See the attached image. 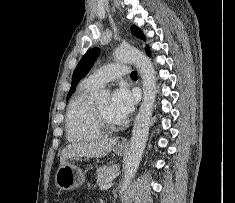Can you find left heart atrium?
Instances as JSON below:
<instances>
[{"label": "left heart atrium", "instance_id": "1", "mask_svg": "<svg viewBox=\"0 0 235 203\" xmlns=\"http://www.w3.org/2000/svg\"><path fill=\"white\" fill-rule=\"evenodd\" d=\"M135 101V95L126 86H119L113 92L109 104L110 114L118 122L124 121L132 113Z\"/></svg>", "mask_w": 235, "mask_h": 203}]
</instances>
